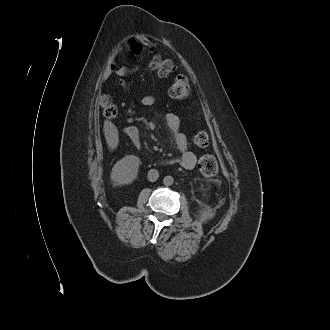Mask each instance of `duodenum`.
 <instances>
[{
	"label": "duodenum",
	"instance_id": "obj_1",
	"mask_svg": "<svg viewBox=\"0 0 330 330\" xmlns=\"http://www.w3.org/2000/svg\"><path fill=\"white\" fill-rule=\"evenodd\" d=\"M128 135L134 139L135 141L138 140V132L134 129H129Z\"/></svg>",
	"mask_w": 330,
	"mask_h": 330
}]
</instances>
